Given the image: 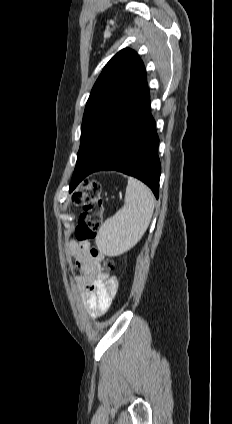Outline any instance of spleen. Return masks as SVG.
I'll use <instances>...</instances> for the list:
<instances>
[{
  "label": "spleen",
  "instance_id": "obj_1",
  "mask_svg": "<svg viewBox=\"0 0 232 424\" xmlns=\"http://www.w3.org/2000/svg\"><path fill=\"white\" fill-rule=\"evenodd\" d=\"M151 190L141 181L129 177L124 206L100 226L95 242L110 256H119L133 248L147 230L154 212Z\"/></svg>",
  "mask_w": 232,
  "mask_h": 424
}]
</instances>
